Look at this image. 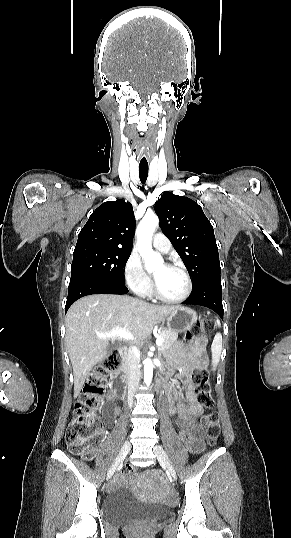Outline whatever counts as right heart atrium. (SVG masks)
Segmentation results:
<instances>
[{"mask_svg": "<svg viewBox=\"0 0 291 538\" xmlns=\"http://www.w3.org/2000/svg\"><path fill=\"white\" fill-rule=\"evenodd\" d=\"M124 279L128 287L138 295H147L151 288L149 276L143 269L136 253H131L124 265Z\"/></svg>", "mask_w": 291, "mask_h": 538, "instance_id": "obj_1", "label": "right heart atrium"}]
</instances>
